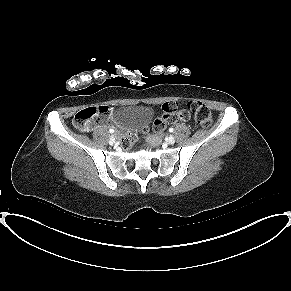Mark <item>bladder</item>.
Instances as JSON below:
<instances>
[{
  "instance_id": "31cf9c89",
  "label": "bladder",
  "mask_w": 291,
  "mask_h": 291,
  "mask_svg": "<svg viewBox=\"0 0 291 291\" xmlns=\"http://www.w3.org/2000/svg\"><path fill=\"white\" fill-rule=\"evenodd\" d=\"M151 111L142 105H123L120 106L114 115V121L120 129L139 128L149 122Z\"/></svg>"
}]
</instances>
